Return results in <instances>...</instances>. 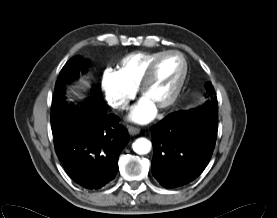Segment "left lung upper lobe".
<instances>
[{
	"instance_id": "1",
	"label": "left lung upper lobe",
	"mask_w": 277,
	"mask_h": 218,
	"mask_svg": "<svg viewBox=\"0 0 277 218\" xmlns=\"http://www.w3.org/2000/svg\"><path fill=\"white\" fill-rule=\"evenodd\" d=\"M205 88H206L208 97L210 98V99L207 101V103L218 104L217 97H216V93H215V90H214L212 84H211V83H206Z\"/></svg>"
}]
</instances>
